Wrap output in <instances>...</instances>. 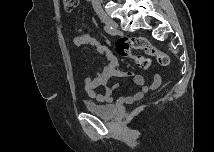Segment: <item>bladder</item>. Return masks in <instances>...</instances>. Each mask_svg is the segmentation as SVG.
I'll use <instances>...</instances> for the list:
<instances>
[{"label": "bladder", "instance_id": "obj_1", "mask_svg": "<svg viewBox=\"0 0 215 152\" xmlns=\"http://www.w3.org/2000/svg\"><path fill=\"white\" fill-rule=\"evenodd\" d=\"M85 107L91 113H94V114L101 116V117H111L116 112V106L115 105L99 104V103L91 101V100L85 101Z\"/></svg>", "mask_w": 215, "mask_h": 152}]
</instances>
